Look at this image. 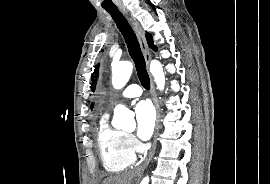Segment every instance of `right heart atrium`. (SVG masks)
I'll use <instances>...</instances> for the list:
<instances>
[{
  "label": "right heart atrium",
  "mask_w": 270,
  "mask_h": 184,
  "mask_svg": "<svg viewBox=\"0 0 270 184\" xmlns=\"http://www.w3.org/2000/svg\"><path fill=\"white\" fill-rule=\"evenodd\" d=\"M127 139H128V143L129 145L134 149V150H138L139 149V144L136 141V139L131 136V135H127Z\"/></svg>",
  "instance_id": "obj_1"
}]
</instances>
